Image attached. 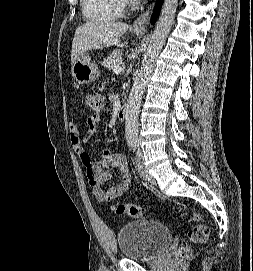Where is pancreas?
I'll list each match as a JSON object with an SVG mask.
<instances>
[{
    "label": "pancreas",
    "mask_w": 253,
    "mask_h": 271,
    "mask_svg": "<svg viewBox=\"0 0 253 271\" xmlns=\"http://www.w3.org/2000/svg\"><path fill=\"white\" fill-rule=\"evenodd\" d=\"M122 64V51L115 50L109 56H107L102 65L110 70H113L115 66H120Z\"/></svg>",
    "instance_id": "pancreas-1"
}]
</instances>
